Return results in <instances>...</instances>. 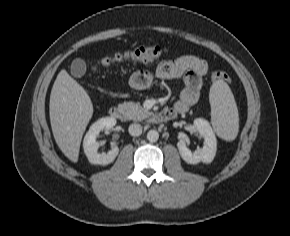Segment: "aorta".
Listing matches in <instances>:
<instances>
[{
	"label": "aorta",
	"mask_w": 290,
	"mask_h": 236,
	"mask_svg": "<svg viewBox=\"0 0 290 236\" xmlns=\"http://www.w3.org/2000/svg\"><path fill=\"white\" fill-rule=\"evenodd\" d=\"M147 139L150 142H156L159 139V133L156 130H150L147 133Z\"/></svg>",
	"instance_id": "obj_1"
}]
</instances>
